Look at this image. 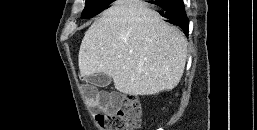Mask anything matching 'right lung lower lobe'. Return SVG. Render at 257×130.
<instances>
[{"instance_id": "right-lung-lower-lobe-1", "label": "right lung lower lobe", "mask_w": 257, "mask_h": 130, "mask_svg": "<svg viewBox=\"0 0 257 130\" xmlns=\"http://www.w3.org/2000/svg\"><path fill=\"white\" fill-rule=\"evenodd\" d=\"M151 3L159 6L162 9L161 15L167 19V22L179 26L184 31L188 32L189 21L186 16L185 7L182 0H160Z\"/></svg>"}]
</instances>
